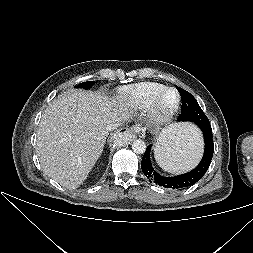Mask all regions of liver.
Listing matches in <instances>:
<instances>
[{
	"label": "liver",
	"instance_id": "1",
	"mask_svg": "<svg viewBox=\"0 0 253 253\" xmlns=\"http://www.w3.org/2000/svg\"><path fill=\"white\" fill-rule=\"evenodd\" d=\"M131 116L126 102L84 90L65 92L42 115L36 151L43 171L63 187L75 189L100 157L107 127Z\"/></svg>",
	"mask_w": 253,
	"mask_h": 253
}]
</instances>
